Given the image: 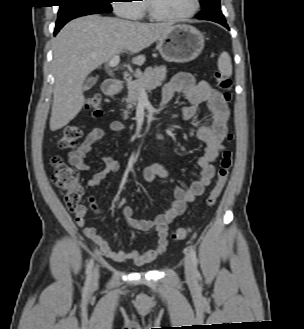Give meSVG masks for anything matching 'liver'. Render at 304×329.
I'll return each mask as SVG.
<instances>
[{
  "instance_id": "liver-1",
  "label": "liver",
  "mask_w": 304,
  "mask_h": 329,
  "mask_svg": "<svg viewBox=\"0 0 304 329\" xmlns=\"http://www.w3.org/2000/svg\"><path fill=\"white\" fill-rule=\"evenodd\" d=\"M171 27L169 23H140L100 15L66 24L53 41L55 86L50 130L63 128L81 111L85 103L83 83L93 70L123 52L139 54ZM144 62L142 54L132 59L136 65Z\"/></svg>"
}]
</instances>
